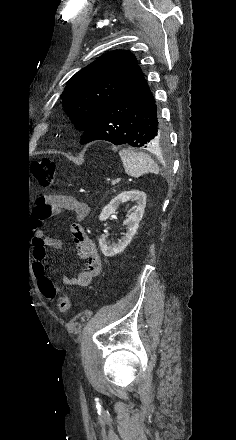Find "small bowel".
<instances>
[{"mask_svg":"<svg viewBox=\"0 0 236 440\" xmlns=\"http://www.w3.org/2000/svg\"><path fill=\"white\" fill-rule=\"evenodd\" d=\"M35 222L40 223L54 214L69 211L73 212L77 221L83 220L89 213L87 204L68 195H41L35 201ZM71 234L77 254L86 261L85 268L75 277L62 276L66 286L86 287L101 273L102 261L94 242L87 236L83 227L75 222L71 226ZM35 246L34 276L38 281L46 277L44 247L61 248V241L51 236H44L41 231H35L33 237Z\"/></svg>","mask_w":236,"mask_h":440,"instance_id":"1","label":"small bowel"}]
</instances>
